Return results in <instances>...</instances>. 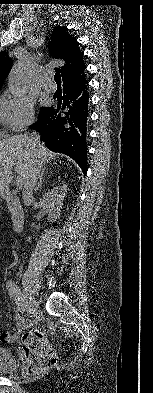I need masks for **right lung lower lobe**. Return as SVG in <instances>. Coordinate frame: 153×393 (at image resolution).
Returning a JSON list of instances; mask_svg holds the SVG:
<instances>
[{
	"instance_id": "1",
	"label": "right lung lower lobe",
	"mask_w": 153,
	"mask_h": 393,
	"mask_svg": "<svg viewBox=\"0 0 153 393\" xmlns=\"http://www.w3.org/2000/svg\"><path fill=\"white\" fill-rule=\"evenodd\" d=\"M63 91L57 95V109L47 107L41 112L37 123L32 126L40 131V145L50 154H65L72 158L82 172L87 170L86 122L88 115L87 81L82 71L63 79Z\"/></svg>"
}]
</instances>
